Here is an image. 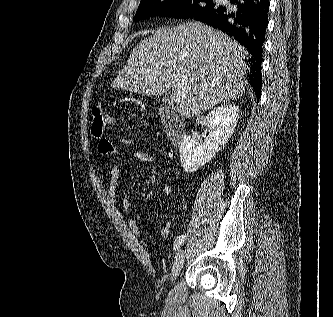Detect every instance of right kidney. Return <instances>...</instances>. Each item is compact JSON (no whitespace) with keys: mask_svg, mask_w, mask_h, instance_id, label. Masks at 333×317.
<instances>
[{"mask_svg":"<svg viewBox=\"0 0 333 317\" xmlns=\"http://www.w3.org/2000/svg\"><path fill=\"white\" fill-rule=\"evenodd\" d=\"M239 119V107L224 104L211 111L205 119L209 135L203 144H197L192 136L184 138L180 147V160L184 170L194 173L214 156L228 142Z\"/></svg>","mask_w":333,"mask_h":317,"instance_id":"ca27d5eb","label":"right kidney"}]
</instances>
